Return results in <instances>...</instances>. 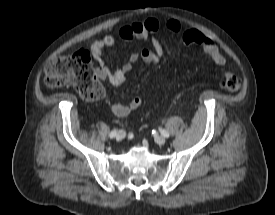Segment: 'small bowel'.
<instances>
[{"label":"small bowel","mask_w":275,"mask_h":215,"mask_svg":"<svg viewBox=\"0 0 275 215\" xmlns=\"http://www.w3.org/2000/svg\"><path fill=\"white\" fill-rule=\"evenodd\" d=\"M161 24L159 18H148L142 22H133L124 25L119 30V37L126 42L139 40L150 42L151 47L142 49L140 52L132 53L129 61L117 69H109L104 58V49L113 47L116 44V38L112 35H105L96 40L91 46L92 55L97 63L95 70L96 76L101 80H107L111 85L119 87L126 80L131 72L133 65L138 61L148 64L156 63L164 55V48L157 37ZM166 29L172 34H178L181 31V24L178 20L168 17L165 20ZM182 41L186 45H198L217 65H224L226 57L222 54L218 46L208 37L197 30H186L182 34ZM142 100L139 97L133 98L128 105L115 103L111 110L117 117L126 116L131 110L139 108Z\"/></svg>","instance_id":"c3829d8e"}]
</instances>
